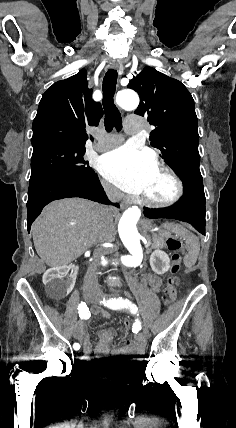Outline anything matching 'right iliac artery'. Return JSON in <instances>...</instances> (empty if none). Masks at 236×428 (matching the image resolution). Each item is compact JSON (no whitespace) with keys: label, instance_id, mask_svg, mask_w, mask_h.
Wrapping results in <instances>:
<instances>
[{"label":"right iliac artery","instance_id":"1","mask_svg":"<svg viewBox=\"0 0 236 428\" xmlns=\"http://www.w3.org/2000/svg\"><path fill=\"white\" fill-rule=\"evenodd\" d=\"M78 313H79V317L81 319H85V320L89 319L91 316L89 309H88L86 303H84V302H81L79 304ZM73 348H74V350H79L80 349L79 343H74Z\"/></svg>","mask_w":236,"mask_h":428}]
</instances>
